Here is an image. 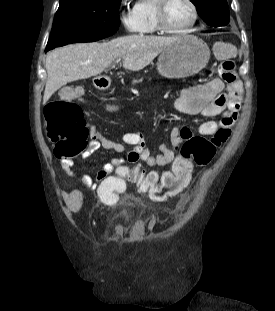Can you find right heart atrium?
<instances>
[{
	"label": "right heart atrium",
	"instance_id": "obj_1",
	"mask_svg": "<svg viewBox=\"0 0 275 311\" xmlns=\"http://www.w3.org/2000/svg\"><path fill=\"white\" fill-rule=\"evenodd\" d=\"M118 18L123 28L130 33L139 31L140 24L132 10L127 9L123 5L118 8Z\"/></svg>",
	"mask_w": 275,
	"mask_h": 311
}]
</instances>
